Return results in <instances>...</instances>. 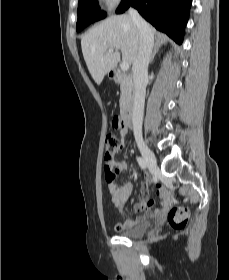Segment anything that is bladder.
<instances>
[{
	"instance_id": "bladder-1",
	"label": "bladder",
	"mask_w": 229,
	"mask_h": 280,
	"mask_svg": "<svg viewBox=\"0 0 229 280\" xmlns=\"http://www.w3.org/2000/svg\"><path fill=\"white\" fill-rule=\"evenodd\" d=\"M149 227L150 222L143 219L133 227L119 231L118 234L128 237H138L144 235L148 231Z\"/></svg>"
}]
</instances>
